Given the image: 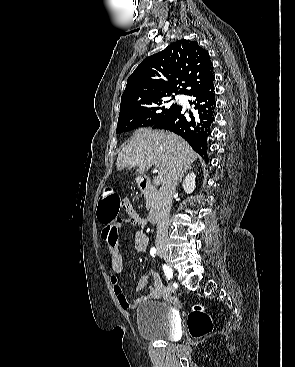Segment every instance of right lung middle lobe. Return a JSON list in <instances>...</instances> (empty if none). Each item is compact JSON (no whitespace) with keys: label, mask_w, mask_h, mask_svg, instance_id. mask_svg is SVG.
Segmentation results:
<instances>
[{"label":"right lung middle lobe","mask_w":295,"mask_h":367,"mask_svg":"<svg viewBox=\"0 0 295 367\" xmlns=\"http://www.w3.org/2000/svg\"><path fill=\"white\" fill-rule=\"evenodd\" d=\"M167 96H171V94L128 103L119 114L116 132L122 133L139 127L153 126L176 111L180 106L166 100Z\"/></svg>","instance_id":"1"}]
</instances>
